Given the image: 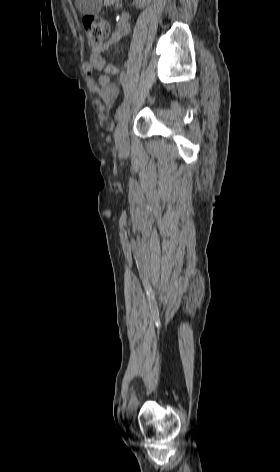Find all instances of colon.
<instances>
[{
	"label": "colon",
	"mask_w": 280,
	"mask_h": 472,
	"mask_svg": "<svg viewBox=\"0 0 280 472\" xmlns=\"http://www.w3.org/2000/svg\"><path fill=\"white\" fill-rule=\"evenodd\" d=\"M83 27L88 44L93 50L101 48L111 33V24L93 15H87L83 18ZM123 31H126V27Z\"/></svg>",
	"instance_id": "colon-1"
}]
</instances>
